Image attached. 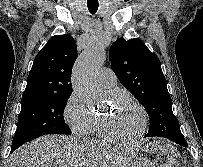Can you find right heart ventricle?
I'll return each mask as SVG.
<instances>
[{
    "label": "right heart ventricle",
    "mask_w": 203,
    "mask_h": 167,
    "mask_svg": "<svg viewBox=\"0 0 203 167\" xmlns=\"http://www.w3.org/2000/svg\"><path fill=\"white\" fill-rule=\"evenodd\" d=\"M93 131H96V132L101 134L100 125H99V119L97 117H95Z\"/></svg>",
    "instance_id": "obj_1"
}]
</instances>
